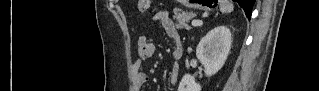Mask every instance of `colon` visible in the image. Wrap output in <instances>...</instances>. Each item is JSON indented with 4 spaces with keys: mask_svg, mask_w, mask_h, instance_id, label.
Returning <instances> with one entry per match:
<instances>
[{
    "mask_svg": "<svg viewBox=\"0 0 319 91\" xmlns=\"http://www.w3.org/2000/svg\"><path fill=\"white\" fill-rule=\"evenodd\" d=\"M150 5H151V1H149V0H139L138 1V8H139V11H141V12L148 11L150 8Z\"/></svg>",
    "mask_w": 319,
    "mask_h": 91,
    "instance_id": "1",
    "label": "colon"
}]
</instances>
